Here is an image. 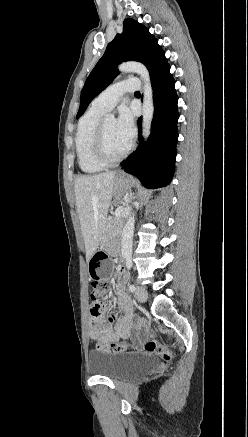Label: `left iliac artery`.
<instances>
[{"label":"left iliac artery","instance_id":"1","mask_svg":"<svg viewBox=\"0 0 248 437\" xmlns=\"http://www.w3.org/2000/svg\"><path fill=\"white\" fill-rule=\"evenodd\" d=\"M127 266H128V268H130V267H131V263H130V262H127ZM135 289H136V288H135L134 285H130V286H129V291L134 292Z\"/></svg>","mask_w":248,"mask_h":437}]
</instances>
